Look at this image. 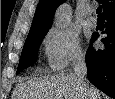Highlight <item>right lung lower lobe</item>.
Masks as SVG:
<instances>
[{
    "instance_id": "right-lung-lower-lobe-1",
    "label": "right lung lower lobe",
    "mask_w": 115,
    "mask_h": 99,
    "mask_svg": "<svg viewBox=\"0 0 115 99\" xmlns=\"http://www.w3.org/2000/svg\"><path fill=\"white\" fill-rule=\"evenodd\" d=\"M107 37L102 38L105 48L96 50L92 43L86 53L87 76L89 81L108 96L115 99V9L103 15ZM98 34H93L95 41Z\"/></svg>"
}]
</instances>
